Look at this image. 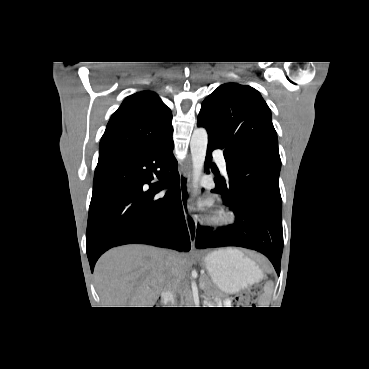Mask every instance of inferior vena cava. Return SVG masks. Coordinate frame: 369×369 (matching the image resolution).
Here are the masks:
<instances>
[{"label": "inferior vena cava", "mask_w": 369, "mask_h": 369, "mask_svg": "<svg viewBox=\"0 0 369 369\" xmlns=\"http://www.w3.org/2000/svg\"><path fill=\"white\" fill-rule=\"evenodd\" d=\"M166 261H167V264L169 266H171L172 265V262H173L172 256L171 255H168ZM171 287H172L171 285H168L166 288L170 289Z\"/></svg>", "instance_id": "obj_1"}]
</instances>
